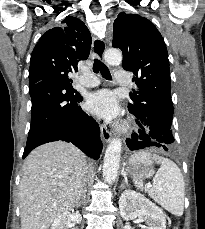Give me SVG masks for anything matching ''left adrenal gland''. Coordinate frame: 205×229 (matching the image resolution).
<instances>
[{
	"instance_id": "a2214340",
	"label": "left adrenal gland",
	"mask_w": 205,
	"mask_h": 229,
	"mask_svg": "<svg viewBox=\"0 0 205 229\" xmlns=\"http://www.w3.org/2000/svg\"><path fill=\"white\" fill-rule=\"evenodd\" d=\"M124 187H125V182L123 180L122 183H121L120 189L122 190Z\"/></svg>"
}]
</instances>
